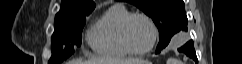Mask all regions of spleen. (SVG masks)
I'll return each instance as SVG.
<instances>
[{
  "mask_svg": "<svg viewBox=\"0 0 242 64\" xmlns=\"http://www.w3.org/2000/svg\"><path fill=\"white\" fill-rule=\"evenodd\" d=\"M167 64H182L181 61L177 60V59H169L167 61Z\"/></svg>",
  "mask_w": 242,
  "mask_h": 64,
  "instance_id": "obj_1",
  "label": "spleen"
}]
</instances>
